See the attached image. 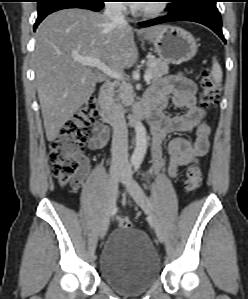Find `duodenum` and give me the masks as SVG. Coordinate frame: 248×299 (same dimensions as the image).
Listing matches in <instances>:
<instances>
[{
	"instance_id": "obj_1",
	"label": "duodenum",
	"mask_w": 248,
	"mask_h": 299,
	"mask_svg": "<svg viewBox=\"0 0 248 299\" xmlns=\"http://www.w3.org/2000/svg\"><path fill=\"white\" fill-rule=\"evenodd\" d=\"M114 85L111 82H106L100 88L98 94V105L100 108V117L104 123L113 124L116 122V109L112 103V95ZM150 106L146 102L138 103L133 110L131 123L136 124L142 119L148 118L150 115Z\"/></svg>"
}]
</instances>
